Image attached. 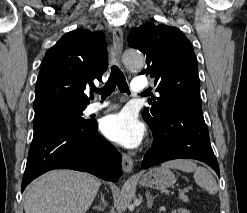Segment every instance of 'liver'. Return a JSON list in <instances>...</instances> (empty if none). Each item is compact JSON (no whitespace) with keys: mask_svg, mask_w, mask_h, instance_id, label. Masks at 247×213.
Segmentation results:
<instances>
[{"mask_svg":"<svg viewBox=\"0 0 247 213\" xmlns=\"http://www.w3.org/2000/svg\"><path fill=\"white\" fill-rule=\"evenodd\" d=\"M101 185L99 178L74 170H52L27 186L25 213H85Z\"/></svg>","mask_w":247,"mask_h":213,"instance_id":"6515ba94","label":"liver"}]
</instances>
